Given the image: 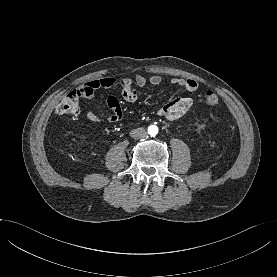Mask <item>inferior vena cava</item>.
Returning <instances> with one entry per match:
<instances>
[{
    "label": "inferior vena cava",
    "instance_id": "inferior-vena-cava-1",
    "mask_svg": "<svg viewBox=\"0 0 277 277\" xmlns=\"http://www.w3.org/2000/svg\"><path fill=\"white\" fill-rule=\"evenodd\" d=\"M130 136L134 139H142L147 136V132L144 128H136L131 130Z\"/></svg>",
    "mask_w": 277,
    "mask_h": 277
}]
</instances>
